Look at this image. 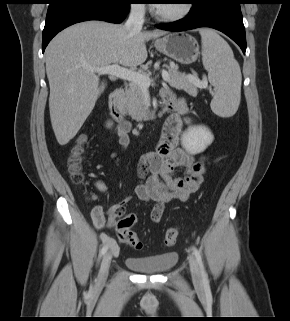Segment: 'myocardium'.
Returning a JSON list of instances; mask_svg holds the SVG:
<instances>
[{
    "mask_svg": "<svg viewBox=\"0 0 290 321\" xmlns=\"http://www.w3.org/2000/svg\"><path fill=\"white\" fill-rule=\"evenodd\" d=\"M158 5L153 7L152 14L153 16L162 22H176L179 21L186 16L189 15V13L192 10V3L190 0L182 1L181 7L176 10L175 12H162L157 8Z\"/></svg>",
    "mask_w": 290,
    "mask_h": 321,
    "instance_id": "obj_1",
    "label": "myocardium"
}]
</instances>
